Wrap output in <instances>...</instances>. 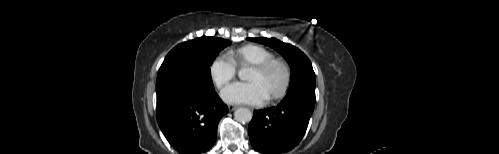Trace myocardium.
<instances>
[{"label": "myocardium", "instance_id": "1", "mask_svg": "<svg viewBox=\"0 0 499 154\" xmlns=\"http://www.w3.org/2000/svg\"><path fill=\"white\" fill-rule=\"evenodd\" d=\"M274 66H280L283 70V82L280 88L268 97L269 101L277 100L282 98L289 89L292 71L288 61L282 57H272L264 62L253 65L252 69L258 72L265 73L269 71Z\"/></svg>", "mask_w": 499, "mask_h": 154}]
</instances>
